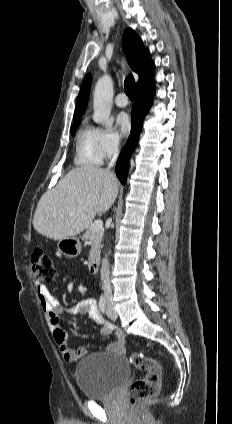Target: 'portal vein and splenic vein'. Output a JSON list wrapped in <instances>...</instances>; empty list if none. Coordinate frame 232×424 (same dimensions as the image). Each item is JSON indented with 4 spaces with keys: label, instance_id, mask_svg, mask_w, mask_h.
Returning <instances> with one entry per match:
<instances>
[{
    "label": "portal vein and splenic vein",
    "instance_id": "portal-vein-and-splenic-vein-1",
    "mask_svg": "<svg viewBox=\"0 0 232 424\" xmlns=\"http://www.w3.org/2000/svg\"><path fill=\"white\" fill-rule=\"evenodd\" d=\"M92 229L93 230H101V229H103V222L101 220L94 221V223H92Z\"/></svg>",
    "mask_w": 232,
    "mask_h": 424
}]
</instances>
